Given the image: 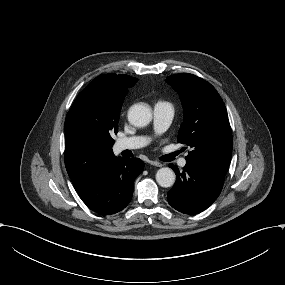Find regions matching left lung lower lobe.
Segmentation results:
<instances>
[{
    "instance_id": "left-lung-lower-lobe-1",
    "label": "left lung lower lobe",
    "mask_w": 285,
    "mask_h": 285,
    "mask_svg": "<svg viewBox=\"0 0 285 285\" xmlns=\"http://www.w3.org/2000/svg\"><path fill=\"white\" fill-rule=\"evenodd\" d=\"M176 173V182L168 191V202L185 214H198L207 209L219 196L225 176L187 163L182 173L169 164Z\"/></svg>"
}]
</instances>
